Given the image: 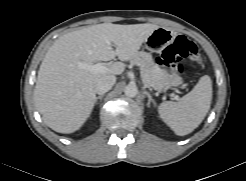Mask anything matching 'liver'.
Masks as SVG:
<instances>
[{
  "mask_svg": "<svg viewBox=\"0 0 246 181\" xmlns=\"http://www.w3.org/2000/svg\"><path fill=\"white\" fill-rule=\"evenodd\" d=\"M159 28L145 23H102L64 34L47 51L38 71L34 100L44 123L59 133H72L90 116L99 79L120 75L143 42ZM116 46L113 49L112 46ZM118 57L104 73H94L78 62L94 64Z\"/></svg>",
  "mask_w": 246,
  "mask_h": 181,
  "instance_id": "6515ba94",
  "label": "liver"
}]
</instances>
